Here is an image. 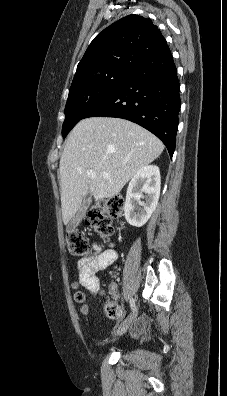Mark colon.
<instances>
[{
	"mask_svg": "<svg viewBox=\"0 0 227 396\" xmlns=\"http://www.w3.org/2000/svg\"><path fill=\"white\" fill-rule=\"evenodd\" d=\"M124 210V200L121 196H112L93 205L88 211L86 222L103 240H108L114 234L113 221L119 219ZM67 250L70 255L84 257L89 255L90 247L87 239L79 232H70L66 238ZM75 300L83 304L85 294L81 291L76 292ZM83 312L88 311V307L83 305ZM106 314L115 317L117 307L113 302L105 305Z\"/></svg>",
	"mask_w": 227,
	"mask_h": 396,
	"instance_id": "1",
	"label": "colon"
}]
</instances>
